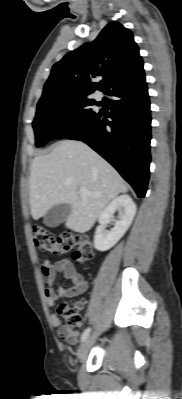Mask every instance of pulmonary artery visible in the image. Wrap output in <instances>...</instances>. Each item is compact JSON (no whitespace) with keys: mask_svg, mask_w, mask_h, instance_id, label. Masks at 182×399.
<instances>
[{"mask_svg":"<svg viewBox=\"0 0 182 399\" xmlns=\"http://www.w3.org/2000/svg\"><path fill=\"white\" fill-rule=\"evenodd\" d=\"M95 96L97 99H100L102 97V92L101 91H96Z\"/></svg>","mask_w":182,"mask_h":399,"instance_id":"obj_1","label":"pulmonary artery"}]
</instances>
